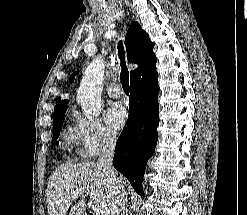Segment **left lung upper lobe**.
<instances>
[{"instance_id":"left-lung-upper-lobe-1","label":"left lung upper lobe","mask_w":247,"mask_h":215,"mask_svg":"<svg viewBox=\"0 0 247 215\" xmlns=\"http://www.w3.org/2000/svg\"><path fill=\"white\" fill-rule=\"evenodd\" d=\"M79 73V71H77V74ZM74 78H75V72L70 76V82H73V80H74Z\"/></svg>"}]
</instances>
